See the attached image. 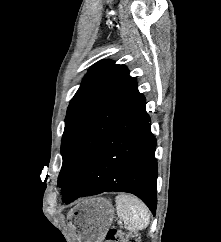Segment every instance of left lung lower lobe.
Here are the masks:
<instances>
[{
	"label": "left lung lower lobe",
	"instance_id": "1",
	"mask_svg": "<svg viewBox=\"0 0 221 242\" xmlns=\"http://www.w3.org/2000/svg\"><path fill=\"white\" fill-rule=\"evenodd\" d=\"M145 104L143 97L100 137L64 190V203L105 191L128 192L143 200L155 215L156 139L151 133Z\"/></svg>",
	"mask_w": 221,
	"mask_h": 242
}]
</instances>
